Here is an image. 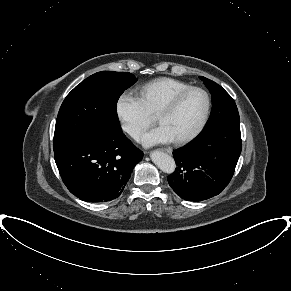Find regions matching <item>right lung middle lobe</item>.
Listing matches in <instances>:
<instances>
[{
	"instance_id": "obj_1",
	"label": "right lung middle lobe",
	"mask_w": 291,
	"mask_h": 291,
	"mask_svg": "<svg viewBox=\"0 0 291 291\" xmlns=\"http://www.w3.org/2000/svg\"><path fill=\"white\" fill-rule=\"evenodd\" d=\"M136 81L129 72L101 71L77 85L60 107L54 151L82 136L121 132L116 104L121 94Z\"/></svg>"
}]
</instances>
